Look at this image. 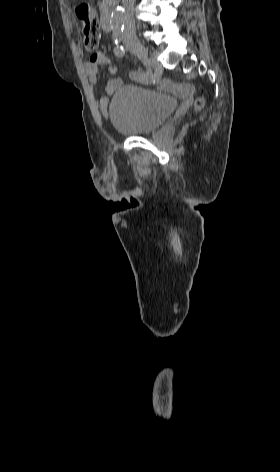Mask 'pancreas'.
<instances>
[{"label": "pancreas", "mask_w": 280, "mask_h": 472, "mask_svg": "<svg viewBox=\"0 0 280 472\" xmlns=\"http://www.w3.org/2000/svg\"><path fill=\"white\" fill-rule=\"evenodd\" d=\"M109 0H103V2H108Z\"/></svg>", "instance_id": "1"}]
</instances>
